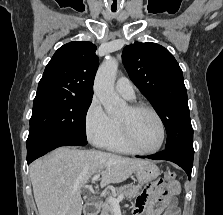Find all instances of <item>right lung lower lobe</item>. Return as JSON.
Wrapping results in <instances>:
<instances>
[{
	"label": "right lung lower lobe",
	"mask_w": 223,
	"mask_h": 215,
	"mask_svg": "<svg viewBox=\"0 0 223 215\" xmlns=\"http://www.w3.org/2000/svg\"><path fill=\"white\" fill-rule=\"evenodd\" d=\"M86 144L87 141L81 139H58L38 143L27 147V163L30 164L35 159L60 146H84Z\"/></svg>",
	"instance_id": "98d812e1"
}]
</instances>
